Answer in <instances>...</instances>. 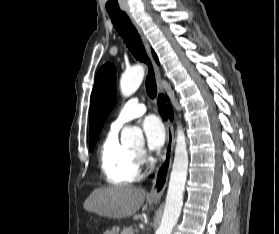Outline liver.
<instances>
[{
  "label": "liver",
  "mask_w": 279,
  "mask_h": 234,
  "mask_svg": "<svg viewBox=\"0 0 279 234\" xmlns=\"http://www.w3.org/2000/svg\"><path fill=\"white\" fill-rule=\"evenodd\" d=\"M145 189L132 186H112L95 189L85 200L86 211L111 219L133 216L143 205Z\"/></svg>",
  "instance_id": "liver-1"
}]
</instances>
